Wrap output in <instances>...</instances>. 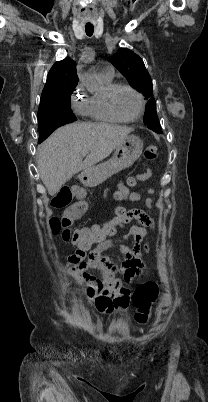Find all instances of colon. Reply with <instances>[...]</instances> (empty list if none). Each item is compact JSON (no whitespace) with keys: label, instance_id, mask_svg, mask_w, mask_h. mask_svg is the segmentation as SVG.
<instances>
[{"label":"colon","instance_id":"colon-1","mask_svg":"<svg viewBox=\"0 0 208 402\" xmlns=\"http://www.w3.org/2000/svg\"><path fill=\"white\" fill-rule=\"evenodd\" d=\"M158 155V147L155 144H148L144 150V157L148 162L156 160ZM133 177H128L126 183L129 187L135 184ZM75 190L82 191V187L75 186ZM115 198L121 203L124 198L123 188L118 189ZM84 208L81 205L69 206L63 215L50 220V228L54 236L61 237L64 241L73 242L79 248L74 249V253L67 254V261L69 263L79 264L85 259L86 250L91 248L92 244L102 242L106 234H111L112 230L117 229L126 218V212L122 207H119L116 214L107 220L93 225L90 228H84L79 231L73 232L71 227L74 221L79 222L82 219L81 213ZM61 229H63L61 231ZM158 297V286L154 281H147L139 285L133 294L132 302L137 308L135 319L139 324H145L149 318V308ZM117 302L109 295L97 296L93 300L94 307L102 313H112L114 306Z\"/></svg>","mask_w":208,"mask_h":402}]
</instances>
